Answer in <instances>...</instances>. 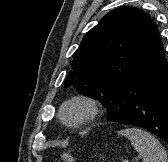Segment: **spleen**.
Here are the masks:
<instances>
[{
	"label": "spleen",
	"mask_w": 168,
	"mask_h": 162,
	"mask_svg": "<svg viewBox=\"0 0 168 162\" xmlns=\"http://www.w3.org/2000/svg\"><path fill=\"white\" fill-rule=\"evenodd\" d=\"M119 135L127 137L143 162H168L165 148L149 132L139 128L120 130Z\"/></svg>",
	"instance_id": "3e777b00"
}]
</instances>
